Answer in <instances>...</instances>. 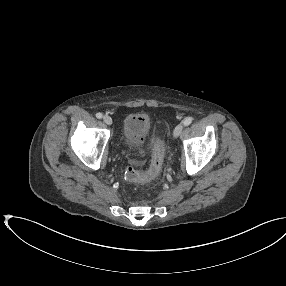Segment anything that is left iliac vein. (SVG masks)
<instances>
[{
  "label": "left iliac vein",
  "instance_id": "4c4485c4",
  "mask_svg": "<svg viewBox=\"0 0 286 286\" xmlns=\"http://www.w3.org/2000/svg\"><path fill=\"white\" fill-rule=\"evenodd\" d=\"M183 128H184L183 124H178L174 129L173 136L175 138L179 137L183 131Z\"/></svg>",
  "mask_w": 286,
  "mask_h": 286
}]
</instances>
